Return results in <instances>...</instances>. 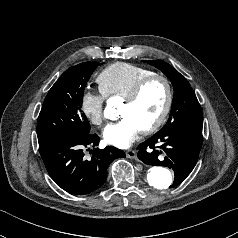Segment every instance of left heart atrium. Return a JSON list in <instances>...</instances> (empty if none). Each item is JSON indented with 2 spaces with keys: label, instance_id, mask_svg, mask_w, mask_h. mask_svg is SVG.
<instances>
[{
  "label": "left heart atrium",
  "instance_id": "left-heart-atrium-1",
  "mask_svg": "<svg viewBox=\"0 0 238 238\" xmlns=\"http://www.w3.org/2000/svg\"><path fill=\"white\" fill-rule=\"evenodd\" d=\"M141 128L136 121L124 116L118 122L108 125L103 132L104 140L116 147L126 148L137 137Z\"/></svg>",
  "mask_w": 238,
  "mask_h": 238
}]
</instances>
